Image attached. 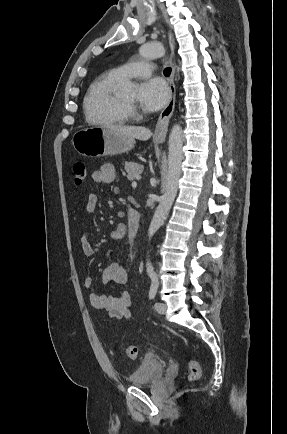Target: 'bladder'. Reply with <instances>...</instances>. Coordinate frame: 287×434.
<instances>
[{"label": "bladder", "instance_id": "1", "mask_svg": "<svg viewBox=\"0 0 287 434\" xmlns=\"http://www.w3.org/2000/svg\"><path fill=\"white\" fill-rule=\"evenodd\" d=\"M165 372V362L158 355L149 354L138 368L129 375L127 381L135 387H143L155 383Z\"/></svg>", "mask_w": 287, "mask_h": 434}]
</instances>
